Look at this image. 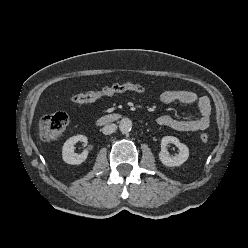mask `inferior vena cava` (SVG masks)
<instances>
[{"label": "inferior vena cava", "instance_id": "inferior-vena-cava-1", "mask_svg": "<svg viewBox=\"0 0 248 248\" xmlns=\"http://www.w3.org/2000/svg\"><path fill=\"white\" fill-rule=\"evenodd\" d=\"M117 129V125L116 124H109L103 127L102 132L105 135H110L112 133H114Z\"/></svg>", "mask_w": 248, "mask_h": 248}]
</instances>
